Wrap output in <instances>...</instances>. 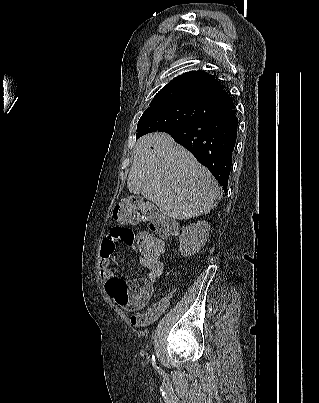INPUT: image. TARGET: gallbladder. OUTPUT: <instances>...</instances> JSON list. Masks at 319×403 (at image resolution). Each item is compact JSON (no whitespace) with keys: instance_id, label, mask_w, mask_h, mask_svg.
Segmentation results:
<instances>
[{"instance_id":"gallbladder-1","label":"gallbladder","mask_w":319,"mask_h":403,"mask_svg":"<svg viewBox=\"0 0 319 403\" xmlns=\"http://www.w3.org/2000/svg\"><path fill=\"white\" fill-rule=\"evenodd\" d=\"M146 207H147L148 209H156V207H155L153 204H151V203H146Z\"/></svg>"}]
</instances>
